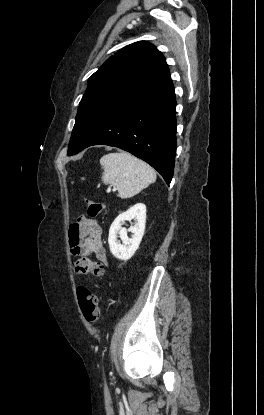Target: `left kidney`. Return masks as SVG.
<instances>
[{"label": "left kidney", "mask_w": 264, "mask_h": 415, "mask_svg": "<svg viewBox=\"0 0 264 415\" xmlns=\"http://www.w3.org/2000/svg\"><path fill=\"white\" fill-rule=\"evenodd\" d=\"M131 220H135L133 226L129 229L122 227L126 221ZM145 223L146 206L142 203L132 206L117 216L110 226L108 236V244L114 257L126 261L134 255L144 235ZM127 232L132 233L131 238L128 237ZM118 237L122 241V244L118 240Z\"/></svg>", "instance_id": "obj_1"}]
</instances>
